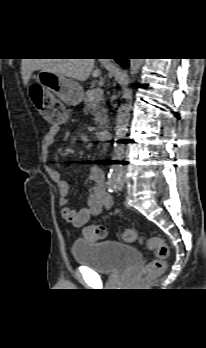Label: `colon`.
<instances>
[{"instance_id":"colon-1","label":"colon","mask_w":206,"mask_h":348,"mask_svg":"<svg viewBox=\"0 0 206 348\" xmlns=\"http://www.w3.org/2000/svg\"><path fill=\"white\" fill-rule=\"evenodd\" d=\"M30 95L38 112L53 126L59 127L67 122V113L56 97L47 94L41 87H31ZM105 235L106 231L103 226L88 225L83 229V236L89 241L103 239ZM122 238L125 241H133L137 239V234L133 229H126ZM147 246L149 250L154 252L156 258L139 272L141 277H152L162 273L169 257V246L162 238H149Z\"/></svg>"}]
</instances>
